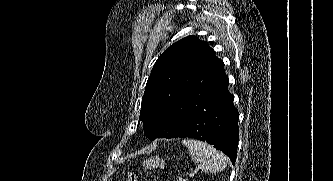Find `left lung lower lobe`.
<instances>
[{"mask_svg": "<svg viewBox=\"0 0 333 181\" xmlns=\"http://www.w3.org/2000/svg\"><path fill=\"white\" fill-rule=\"evenodd\" d=\"M228 84V77L225 76L198 111L173 124L177 130L175 134L162 138L189 137L207 141L225 153L234 165L239 140V113L233 105L234 97L228 91Z\"/></svg>", "mask_w": 333, "mask_h": 181, "instance_id": "1", "label": "left lung lower lobe"}]
</instances>
